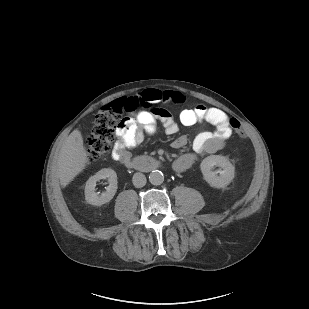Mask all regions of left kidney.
Here are the masks:
<instances>
[{
  "instance_id": "left-kidney-1",
  "label": "left kidney",
  "mask_w": 309,
  "mask_h": 309,
  "mask_svg": "<svg viewBox=\"0 0 309 309\" xmlns=\"http://www.w3.org/2000/svg\"><path fill=\"white\" fill-rule=\"evenodd\" d=\"M214 166L222 168V170L218 171L219 176L217 175L218 172L212 170ZM200 169L205 181L214 188L227 187L235 174V167L226 157L220 155H211L203 159Z\"/></svg>"
}]
</instances>
